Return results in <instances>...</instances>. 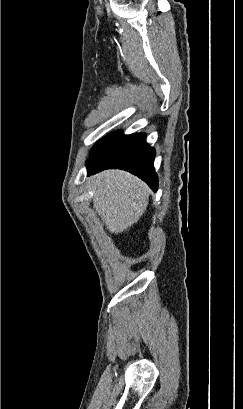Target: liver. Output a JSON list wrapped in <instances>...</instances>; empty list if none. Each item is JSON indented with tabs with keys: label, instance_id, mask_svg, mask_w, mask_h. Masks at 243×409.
I'll use <instances>...</instances> for the list:
<instances>
[{
	"label": "liver",
	"instance_id": "1",
	"mask_svg": "<svg viewBox=\"0 0 243 409\" xmlns=\"http://www.w3.org/2000/svg\"><path fill=\"white\" fill-rule=\"evenodd\" d=\"M93 207L111 233L126 231L145 213L149 188L122 170H105L89 179Z\"/></svg>",
	"mask_w": 243,
	"mask_h": 409
}]
</instances>
